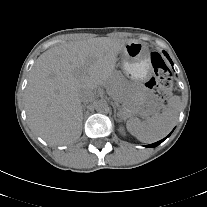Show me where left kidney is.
I'll return each mask as SVG.
<instances>
[{
  "label": "left kidney",
  "instance_id": "5707ae66",
  "mask_svg": "<svg viewBox=\"0 0 207 207\" xmlns=\"http://www.w3.org/2000/svg\"><path fill=\"white\" fill-rule=\"evenodd\" d=\"M120 132H121L122 134H124V131H123V129H120Z\"/></svg>",
  "mask_w": 207,
  "mask_h": 207
}]
</instances>
